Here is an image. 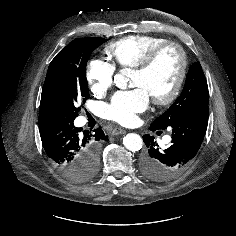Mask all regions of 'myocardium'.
Wrapping results in <instances>:
<instances>
[{"label":"myocardium","mask_w":236,"mask_h":236,"mask_svg":"<svg viewBox=\"0 0 236 236\" xmlns=\"http://www.w3.org/2000/svg\"><path fill=\"white\" fill-rule=\"evenodd\" d=\"M169 48H173L175 50H177V52L179 53L180 56V67H179V71L176 77V80L171 88V90L165 94L164 96H153V102L156 105H160V106H165L168 104H171L178 96L186 75H187V69H188V60H187V54L184 50V48L177 42H173V41H167L163 44H160L158 46H156L155 48H153L146 56L145 58L135 67V70L137 72L140 73H146L148 72L153 65L155 64V62L157 61L158 57L161 55L162 52H164L165 50L169 49Z\"/></svg>","instance_id":"f54148a6"}]
</instances>
